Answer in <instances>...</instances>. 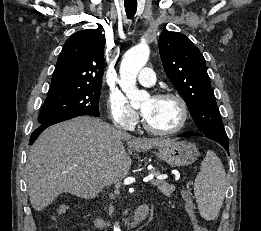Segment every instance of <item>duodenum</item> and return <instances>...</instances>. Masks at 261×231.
Here are the masks:
<instances>
[{
	"mask_svg": "<svg viewBox=\"0 0 261 231\" xmlns=\"http://www.w3.org/2000/svg\"><path fill=\"white\" fill-rule=\"evenodd\" d=\"M148 205L147 204H141L137 207V209L134 211L132 217H131V224L132 225H137L140 222H142L147 214H148ZM96 225L99 228H103L106 225V222L102 219H98L96 222Z\"/></svg>",
	"mask_w": 261,
	"mask_h": 231,
	"instance_id": "duodenum-1",
	"label": "duodenum"
}]
</instances>
